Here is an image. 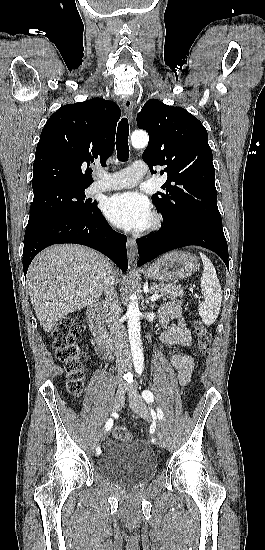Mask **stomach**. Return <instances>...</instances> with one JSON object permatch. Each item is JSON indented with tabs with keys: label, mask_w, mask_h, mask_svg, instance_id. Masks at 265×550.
Returning <instances> with one entry per match:
<instances>
[{
	"label": "stomach",
	"mask_w": 265,
	"mask_h": 550,
	"mask_svg": "<svg viewBox=\"0 0 265 550\" xmlns=\"http://www.w3.org/2000/svg\"><path fill=\"white\" fill-rule=\"evenodd\" d=\"M198 267V258L184 251H173L158 258L144 271L147 278L158 281L185 279L190 277Z\"/></svg>",
	"instance_id": "stomach-1"
}]
</instances>
